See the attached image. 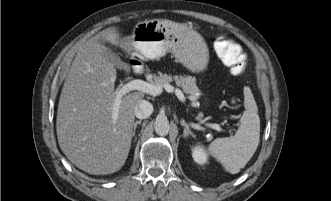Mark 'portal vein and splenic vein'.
I'll return each mask as SVG.
<instances>
[{"mask_svg":"<svg viewBox=\"0 0 331 201\" xmlns=\"http://www.w3.org/2000/svg\"><path fill=\"white\" fill-rule=\"evenodd\" d=\"M163 88L168 93H175V95L177 96V98L179 100H181V101L185 100V96H184L183 92L179 88H176L170 84H165L164 86H160V85L150 84V83L145 82L140 79H134V80L124 84L116 92V98L113 103V112H112L113 123L115 124L118 120L119 107L121 104V99L124 95H126L127 93H129L133 90H138V91L144 92L146 94H150L152 96H157L163 92ZM207 126L213 128L217 131H221V127L218 124H207Z\"/></svg>","mask_w":331,"mask_h":201,"instance_id":"portal-vein-and-splenic-vein-1","label":"portal vein and splenic vein"}]
</instances>
